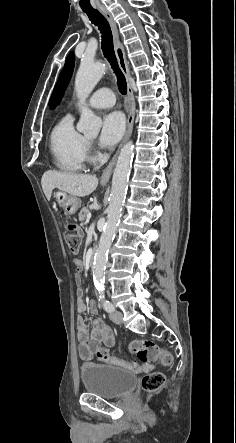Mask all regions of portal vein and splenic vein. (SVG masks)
Segmentation results:
<instances>
[{
	"instance_id": "portal-vein-and-splenic-vein-1",
	"label": "portal vein and splenic vein",
	"mask_w": 236,
	"mask_h": 443,
	"mask_svg": "<svg viewBox=\"0 0 236 443\" xmlns=\"http://www.w3.org/2000/svg\"><path fill=\"white\" fill-rule=\"evenodd\" d=\"M91 218V214L89 213L88 215H87V219L89 220Z\"/></svg>"
}]
</instances>
